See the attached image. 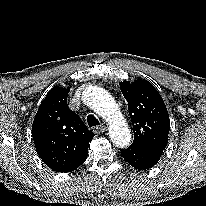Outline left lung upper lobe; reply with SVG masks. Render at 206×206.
Returning a JSON list of instances; mask_svg holds the SVG:
<instances>
[{
    "label": "left lung upper lobe",
    "instance_id": "obj_1",
    "mask_svg": "<svg viewBox=\"0 0 206 206\" xmlns=\"http://www.w3.org/2000/svg\"><path fill=\"white\" fill-rule=\"evenodd\" d=\"M128 102L134 130L131 147L162 153L168 143L170 120L164 101L147 80L137 79L119 83Z\"/></svg>",
    "mask_w": 206,
    "mask_h": 206
}]
</instances>
